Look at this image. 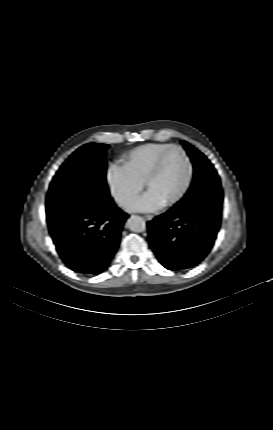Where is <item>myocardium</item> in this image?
Segmentation results:
<instances>
[{"instance_id": "1", "label": "myocardium", "mask_w": 273, "mask_h": 430, "mask_svg": "<svg viewBox=\"0 0 273 430\" xmlns=\"http://www.w3.org/2000/svg\"><path fill=\"white\" fill-rule=\"evenodd\" d=\"M171 151H178L182 154V156L185 159L186 165H187V169H188V174H187V178L185 181L184 186L182 187V189L178 192V194L176 196H174L169 202L164 204V207H172L174 205H176L180 200H182V198L186 195V193L188 192L192 181H193V165L191 162V159L189 157V155L187 154V152L180 146L178 145H171L168 148H166L157 158L156 162L154 163L152 169L150 170L149 174L147 175L146 179H145V187L148 188L149 184L152 182V180H154L159 173L161 172L164 160L166 158V156L168 155V153H170Z\"/></svg>"}]
</instances>
